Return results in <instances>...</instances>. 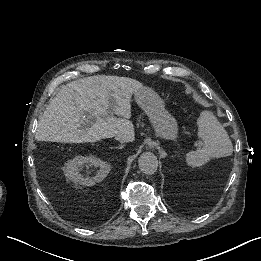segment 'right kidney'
I'll return each mask as SVG.
<instances>
[{
    "label": "right kidney",
    "mask_w": 261,
    "mask_h": 261,
    "mask_svg": "<svg viewBox=\"0 0 261 261\" xmlns=\"http://www.w3.org/2000/svg\"><path fill=\"white\" fill-rule=\"evenodd\" d=\"M96 167V176L85 177L79 173V169L84 165ZM67 171L65 175L74 182H78L84 186H93L95 183L103 180L110 171V165L104 161L97 159L94 156L83 157L79 156L67 163Z\"/></svg>",
    "instance_id": "ca27d5eb"
}]
</instances>
